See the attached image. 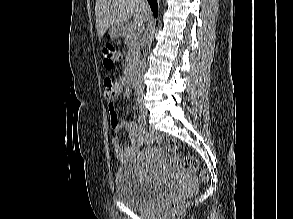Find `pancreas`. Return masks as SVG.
<instances>
[{
	"mask_svg": "<svg viewBox=\"0 0 293 219\" xmlns=\"http://www.w3.org/2000/svg\"><path fill=\"white\" fill-rule=\"evenodd\" d=\"M125 44L128 47L125 59V70L135 66L140 53L141 35L137 29H130L125 38Z\"/></svg>",
	"mask_w": 293,
	"mask_h": 219,
	"instance_id": "pancreas-1",
	"label": "pancreas"
}]
</instances>
